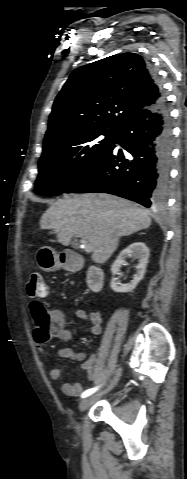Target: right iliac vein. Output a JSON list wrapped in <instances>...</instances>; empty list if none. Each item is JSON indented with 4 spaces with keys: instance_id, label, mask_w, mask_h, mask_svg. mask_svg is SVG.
Listing matches in <instances>:
<instances>
[{
    "instance_id": "obj_1",
    "label": "right iliac vein",
    "mask_w": 187,
    "mask_h": 479,
    "mask_svg": "<svg viewBox=\"0 0 187 479\" xmlns=\"http://www.w3.org/2000/svg\"><path fill=\"white\" fill-rule=\"evenodd\" d=\"M121 368H119L116 373H115V376L113 378V380L111 381L110 385L105 389V391L103 392L104 393H107L108 391H110L118 382L119 378H120V375H121ZM101 394H98V395H95V396H92V397H88V398H85L83 399L80 403H79V410L81 412L87 410L90 405L92 404V402L98 397L100 396Z\"/></svg>"
}]
</instances>
